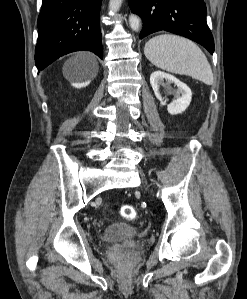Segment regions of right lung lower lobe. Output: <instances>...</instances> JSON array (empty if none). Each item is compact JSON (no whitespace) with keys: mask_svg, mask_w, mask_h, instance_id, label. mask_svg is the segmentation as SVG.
Segmentation results:
<instances>
[{"mask_svg":"<svg viewBox=\"0 0 247 299\" xmlns=\"http://www.w3.org/2000/svg\"><path fill=\"white\" fill-rule=\"evenodd\" d=\"M101 3L102 0H42L35 48L38 71L74 51L89 50L102 59Z\"/></svg>","mask_w":247,"mask_h":299,"instance_id":"1","label":"right lung lower lobe"}]
</instances>
